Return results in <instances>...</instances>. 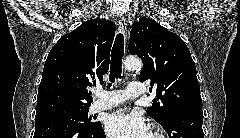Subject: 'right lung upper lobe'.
<instances>
[{"mask_svg": "<svg viewBox=\"0 0 240 138\" xmlns=\"http://www.w3.org/2000/svg\"><path fill=\"white\" fill-rule=\"evenodd\" d=\"M115 30L114 22L97 18L58 40L44 65L36 115L91 105L87 87L103 84Z\"/></svg>", "mask_w": 240, "mask_h": 138, "instance_id": "obj_1", "label": "right lung upper lobe"}]
</instances>
